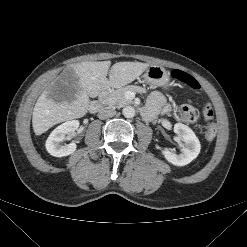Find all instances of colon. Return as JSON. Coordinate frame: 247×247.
<instances>
[{
	"label": "colon",
	"mask_w": 247,
	"mask_h": 247,
	"mask_svg": "<svg viewBox=\"0 0 247 247\" xmlns=\"http://www.w3.org/2000/svg\"><path fill=\"white\" fill-rule=\"evenodd\" d=\"M172 76L174 79L184 83L188 87H190L194 91H199L200 90V84L198 81L193 78L191 75L180 71V70H174L172 72ZM179 116L181 120L187 123H193L197 121L199 117V112L198 110L193 107L192 105L185 104L180 108L179 111ZM203 117L206 121V124L204 126V137L207 140H213L216 136V126L212 122L213 119V108L211 105H206L203 109Z\"/></svg>",
	"instance_id": "obj_1"
}]
</instances>
